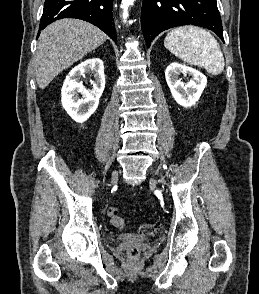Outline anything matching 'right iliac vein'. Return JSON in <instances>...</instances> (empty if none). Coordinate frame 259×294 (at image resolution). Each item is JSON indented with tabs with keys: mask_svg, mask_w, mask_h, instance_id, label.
<instances>
[{
	"mask_svg": "<svg viewBox=\"0 0 259 294\" xmlns=\"http://www.w3.org/2000/svg\"><path fill=\"white\" fill-rule=\"evenodd\" d=\"M117 179H118V173L114 172L113 175H112V182L113 183L117 182Z\"/></svg>",
	"mask_w": 259,
	"mask_h": 294,
	"instance_id": "63e3f726",
	"label": "right iliac vein"
}]
</instances>
